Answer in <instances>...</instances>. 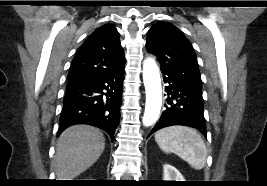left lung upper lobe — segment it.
Wrapping results in <instances>:
<instances>
[{"instance_id":"obj_1","label":"left lung upper lobe","mask_w":267,"mask_h":186,"mask_svg":"<svg viewBox=\"0 0 267 186\" xmlns=\"http://www.w3.org/2000/svg\"><path fill=\"white\" fill-rule=\"evenodd\" d=\"M146 48L157 56L160 69L202 88L201 75L193 47L172 24L159 22L148 31Z\"/></svg>"}]
</instances>
